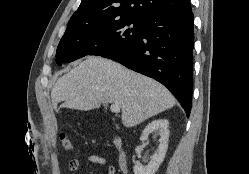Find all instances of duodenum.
<instances>
[{
    "mask_svg": "<svg viewBox=\"0 0 249 174\" xmlns=\"http://www.w3.org/2000/svg\"><path fill=\"white\" fill-rule=\"evenodd\" d=\"M115 146L118 149V164L119 168L123 173H127L128 167H127V158L122 150V143L121 139L119 137L115 138Z\"/></svg>",
    "mask_w": 249,
    "mask_h": 174,
    "instance_id": "410a0bca",
    "label": "duodenum"
}]
</instances>
